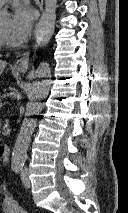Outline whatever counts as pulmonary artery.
Segmentation results:
<instances>
[{"label": "pulmonary artery", "instance_id": "e3ab8cb5", "mask_svg": "<svg viewBox=\"0 0 128 213\" xmlns=\"http://www.w3.org/2000/svg\"><path fill=\"white\" fill-rule=\"evenodd\" d=\"M8 0H0V6H2L4 3H6Z\"/></svg>", "mask_w": 128, "mask_h": 213}]
</instances>
